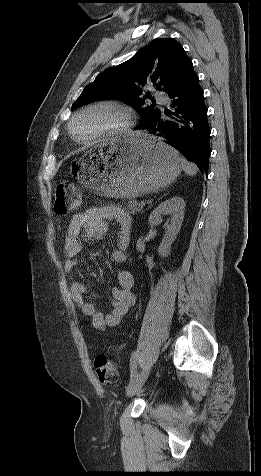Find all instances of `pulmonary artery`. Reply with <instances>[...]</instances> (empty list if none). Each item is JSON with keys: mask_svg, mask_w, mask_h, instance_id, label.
<instances>
[{"mask_svg": "<svg viewBox=\"0 0 261 476\" xmlns=\"http://www.w3.org/2000/svg\"><path fill=\"white\" fill-rule=\"evenodd\" d=\"M156 99L161 104H168L169 100L166 96L162 95L161 93L156 94Z\"/></svg>", "mask_w": 261, "mask_h": 476, "instance_id": "1", "label": "pulmonary artery"}]
</instances>
